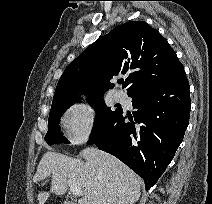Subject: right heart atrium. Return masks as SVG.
Wrapping results in <instances>:
<instances>
[{
    "instance_id": "obj_1",
    "label": "right heart atrium",
    "mask_w": 212,
    "mask_h": 204,
    "mask_svg": "<svg viewBox=\"0 0 212 204\" xmlns=\"http://www.w3.org/2000/svg\"><path fill=\"white\" fill-rule=\"evenodd\" d=\"M96 121L97 112L94 108L82 103L71 105L62 119L68 142L72 145L85 143L93 135Z\"/></svg>"
}]
</instances>
